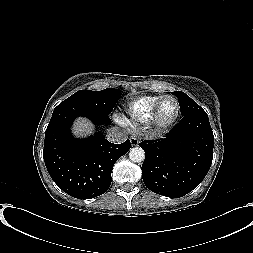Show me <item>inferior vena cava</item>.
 Listing matches in <instances>:
<instances>
[{
  "instance_id": "602c4592",
  "label": "inferior vena cava",
  "mask_w": 253,
  "mask_h": 253,
  "mask_svg": "<svg viewBox=\"0 0 253 253\" xmlns=\"http://www.w3.org/2000/svg\"><path fill=\"white\" fill-rule=\"evenodd\" d=\"M106 136L107 139L113 143L124 142L127 138L126 133L120 131L117 127L110 128Z\"/></svg>"
}]
</instances>
